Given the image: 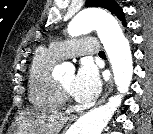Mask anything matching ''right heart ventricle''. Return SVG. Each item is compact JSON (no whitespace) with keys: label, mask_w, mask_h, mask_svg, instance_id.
I'll return each mask as SVG.
<instances>
[{"label":"right heart ventricle","mask_w":153,"mask_h":134,"mask_svg":"<svg viewBox=\"0 0 153 134\" xmlns=\"http://www.w3.org/2000/svg\"><path fill=\"white\" fill-rule=\"evenodd\" d=\"M59 59L50 49L39 48L36 51L28 76L29 99L35 106L47 109L61 107L63 97L51 75L52 67Z\"/></svg>","instance_id":"e07e8e85"}]
</instances>
